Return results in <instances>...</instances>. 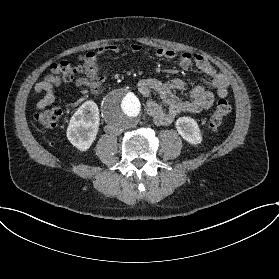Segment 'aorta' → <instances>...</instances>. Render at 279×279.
I'll return each mask as SVG.
<instances>
[{"instance_id": "1", "label": "aorta", "mask_w": 279, "mask_h": 279, "mask_svg": "<svg viewBox=\"0 0 279 279\" xmlns=\"http://www.w3.org/2000/svg\"><path fill=\"white\" fill-rule=\"evenodd\" d=\"M141 112L139 98L125 87L110 91L102 101V114L107 124L122 130L134 127Z\"/></svg>"}]
</instances>
